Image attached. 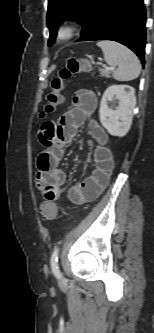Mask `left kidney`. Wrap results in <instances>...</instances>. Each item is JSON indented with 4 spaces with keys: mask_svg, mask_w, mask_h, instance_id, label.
<instances>
[{
    "mask_svg": "<svg viewBox=\"0 0 154 333\" xmlns=\"http://www.w3.org/2000/svg\"><path fill=\"white\" fill-rule=\"evenodd\" d=\"M118 100V105L113 101ZM136 105L135 89L129 85L109 86L101 99L99 118L103 127L113 136H125L132 125Z\"/></svg>",
    "mask_w": 154,
    "mask_h": 333,
    "instance_id": "left-kidney-1",
    "label": "left kidney"
}]
</instances>
